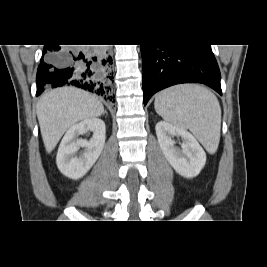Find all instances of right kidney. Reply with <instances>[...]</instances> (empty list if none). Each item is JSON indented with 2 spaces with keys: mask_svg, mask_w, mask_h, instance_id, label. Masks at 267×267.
<instances>
[{
  "mask_svg": "<svg viewBox=\"0 0 267 267\" xmlns=\"http://www.w3.org/2000/svg\"><path fill=\"white\" fill-rule=\"evenodd\" d=\"M92 132L90 140L79 139V135ZM105 123L99 118H89L72 126L63 137L56 163L62 174L71 179L84 176L100 156L105 144ZM84 148L81 155L76 153Z\"/></svg>",
  "mask_w": 267,
  "mask_h": 267,
  "instance_id": "1",
  "label": "right kidney"
}]
</instances>
